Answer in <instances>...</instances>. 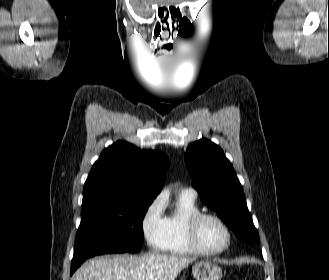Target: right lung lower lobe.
I'll return each mask as SVG.
<instances>
[{
	"instance_id": "98d812e1",
	"label": "right lung lower lobe",
	"mask_w": 329,
	"mask_h": 280,
	"mask_svg": "<svg viewBox=\"0 0 329 280\" xmlns=\"http://www.w3.org/2000/svg\"><path fill=\"white\" fill-rule=\"evenodd\" d=\"M75 270H76V269H75ZM75 270H74V271H75ZM74 271H71V274H72Z\"/></svg>"
}]
</instances>
